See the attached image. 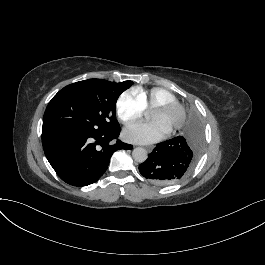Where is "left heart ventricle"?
Listing matches in <instances>:
<instances>
[{
  "label": "left heart ventricle",
  "mask_w": 265,
  "mask_h": 265,
  "mask_svg": "<svg viewBox=\"0 0 265 265\" xmlns=\"http://www.w3.org/2000/svg\"><path fill=\"white\" fill-rule=\"evenodd\" d=\"M178 113L179 111L176 107L166 111L152 110L151 121L160 122L168 129L171 123L177 118Z\"/></svg>",
  "instance_id": "1"
}]
</instances>
